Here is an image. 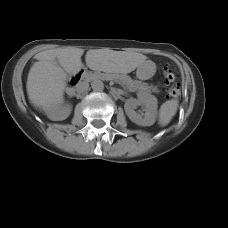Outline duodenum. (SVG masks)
I'll list each match as a JSON object with an SVG mask.
<instances>
[{"mask_svg":"<svg viewBox=\"0 0 228 228\" xmlns=\"http://www.w3.org/2000/svg\"><path fill=\"white\" fill-rule=\"evenodd\" d=\"M85 75H86V72H85V71H83V72L77 74L75 77H73V78L71 79L70 85H71L72 87L77 86V85L79 84V82L85 77Z\"/></svg>","mask_w":228,"mask_h":228,"instance_id":"410a0bca","label":"duodenum"}]
</instances>
